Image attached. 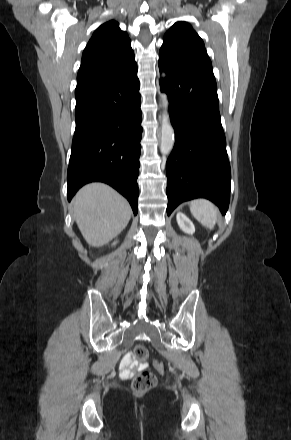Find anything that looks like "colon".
I'll use <instances>...</instances> for the list:
<instances>
[{"label":"colon","instance_id":"5ec220e1","mask_svg":"<svg viewBox=\"0 0 291 440\" xmlns=\"http://www.w3.org/2000/svg\"><path fill=\"white\" fill-rule=\"evenodd\" d=\"M134 355L138 360L145 361L149 357V352L146 347L139 344L134 348ZM156 367L160 371L164 369L162 362H157ZM156 383L157 378L151 371H141L133 380L132 390L135 394H145L155 387Z\"/></svg>","mask_w":291,"mask_h":440}]
</instances>
